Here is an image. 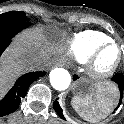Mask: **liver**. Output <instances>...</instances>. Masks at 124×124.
Returning <instances> with one entry per match:
<instances>
[{"instance_id": "1", "label": "liver", "mask_w": 124, "mask_h": 124, "mask_svg": "<svg viewBox=\"0 0 124 124\" xmlns=\"http://www.w3.org/2000/svg\"><path fill=\"white\" fill-rule=\"evenodd\" d=\"M55 30L51 28H35L25 31L13 42L12 47L4 57V73H0V96L11 79L21 71L28 70L34 65L29 59L38 56L42 62L57 52Z\"/></svg>"}]
</instances>
